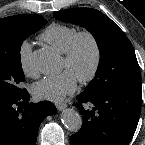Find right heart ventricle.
Returning a JSON list of instances; mask_svg holds the SVG:
<instances>
[{
    "label": "right heart ventricle",
    "mask_w": 145,
    "mask_h": 145,
    "mask_svg": "<svg viewBox=\"0 0 145 145\" xmlns=\"http://www.w3.org/2000/svg\"><path fill=\"white\" fill-rule=\"evenodd\" d=\"M78 30L70 25L53 23L40 34L39 38L57 52L64 54Z\"/></svg>",
    "instance_id": "e07e8e85"
}]
</instances>
